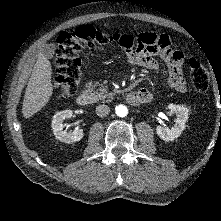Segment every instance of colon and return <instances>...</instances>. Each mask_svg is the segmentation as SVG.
I'll list each match as a JSON object with an SVG mask.
<instances>
[{
    "instance_id": "obj_1",
    "label": "colon",
    "mask_w": 221,
    "mask_h": 221,
    "mask_svg": "<svg viewBox=\"0 0 221 221\" xmlns=\"http://www.w3.org/2000/svg\"><path fill=\"white\" fill-rule=\"evenodd\" d=\"M128 38L121 34H105L91 26L84 25L75 31H63L57 39L55 89L62 97L73 95L81 78L83 50H95L112 42L126 43ZM191 82L198 92L209 88V75L205 67L196 59L190 60Z\"/></svg>"
}]
</instances>
